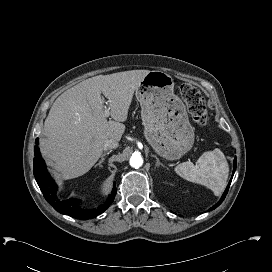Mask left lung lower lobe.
<instances>
[{
    "label": "left lung lower lobe",
    "instance_id": "obj_1",
    "mask_svg": "<svg viewBox=\"0 0 272 272\" xmlns=\"http://www.w3.org/2000/svg\"><path fill=\"white\" fill-rule=\"evenodd\" d=\"M236 164H237V161H236V159H234V170H233V175H234V172H235V169H236ZM233 175H232V177H233ZM230 183H231V181H230ZM230 183L228 184V186H227V188H226L224 194L222 195L220 201H219L216 205H214L210 210L215 209L216 207H218V206L222 203V201L224 200V198H225V196H226V194H227V192H228Z\"/></svg>",
    "mask_w": 272,
    "mask_h": 272
}]
</instances>
